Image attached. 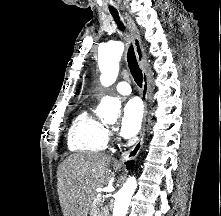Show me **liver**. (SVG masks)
<instances>
[{
	"mask_svg": "<svg viewBox=\"0 0 221 216\" xmlns=\"http://www.w3.org/2000/svg\"><path fill=\"white\" fill-rule=\"evenodd\" d=\"M113 159L104 154L76 153L67 157L58 170L57 190L63 216H87L95 190L115 176ZM120 165L114 162V170Z\"/></svg>",
	"mask_w": 221,
	"mask_h": 216,
	"instance_id": "1",
	"label": "liver"
}]
</instances>
